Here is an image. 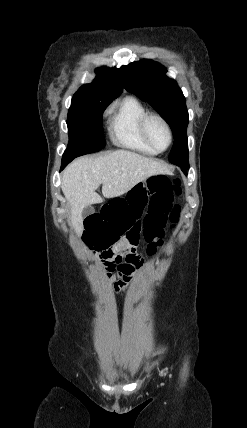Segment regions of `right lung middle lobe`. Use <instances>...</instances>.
I'll return each mask as SVG.
<instances>
[{
    "label": "right lung middle lobe",
    "instance_id": "right-lung-middle-lobe-1",
    "mask_svg": "<svg viewBox=\"0 0 247 428\" xmlns=\"http://www.w3.org/2000/svg\"><path fill=\"white\" fill-rule=\"evenodd\" d=\"M110 103L91 96H73L67 118L69 143L63 158H76L104 147L102 115Z\"/></svg>",
    "mask_w": 247,
    "mask_h": 428
}]
</instances>
